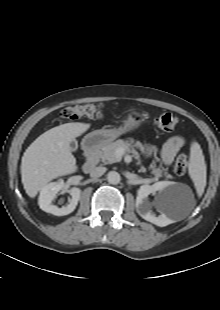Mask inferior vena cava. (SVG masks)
Returning <instances> with one entry per match:
<instances>
[{
  "label": "inferior vena cava",
  "mask_w": 220,
  "mask_h": 310,
  "mask_svg": "<svg viewBox=\"0 0 220 310\" xmlns=\"http://www.w3.org/2000/svg\"><path fill=\"white\" fill-rule=\"evenodd\" d=\"M105 172H106V168L105 167H102V166L95 167L91 171L90 176L92 178H98V177H101Z\"/></svg>",
  "instance_id": "inferior-vena-cava-1"
}]
</instances>
